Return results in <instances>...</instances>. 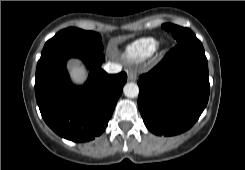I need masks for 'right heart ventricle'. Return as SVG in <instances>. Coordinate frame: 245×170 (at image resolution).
Instances as JSON below:
<instances>
[{"mask_svg": "<svg viewBox=\"0 0 245 170\" xmlns=\"http://www.w3.org/2000/svg\"><path fill=\"white\" fill-rule=\"evenodd\" d=\"M158 47V42L152 37H144L126 46L123 56L131 61H140L150 57Z\"/></svg>", "mask_w": 245, "mask_h": 170, "instance_id": "obj_1", "label": "right heart ventricle"}]
</instances>
